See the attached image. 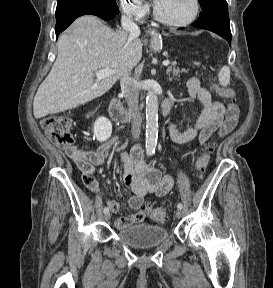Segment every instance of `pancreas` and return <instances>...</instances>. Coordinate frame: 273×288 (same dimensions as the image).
<instances>
[{"instance_id": "pancreas-1", "label": "pancreas", "mask_w": 273, "mask_h": 288, "mask_svg": "<svg viewBox=\"0 0 273 288\" xmlns=\"http://www.w3.org/2000/svg\"><path fill=\"white\" fill-rule=\"evenodd\" d=\"M167 74L172 73L173 76H180L181 72H186L185 70H179V68L176 67V65L170 66L167 68Z\"/></svg>"}]
</instances>
